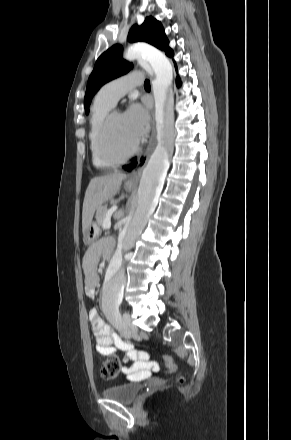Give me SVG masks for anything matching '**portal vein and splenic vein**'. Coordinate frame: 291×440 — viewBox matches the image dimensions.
<instances>
[{
	"label": "portal vein and splenic vein",
	"mask_w": 291,
	"mask_h": 440,
	"mask_svg": "<svg viewBox=\"0 0 291 440\" xmlns=\"http://www.w3.org/2000/svg\"><path fill=\"white\" fill-rule=\"evenodd\" d=\"M116 210H117V206H114L111 209V213L106 215L105 220L103 222V228L104 229H109L111 227V216H112V213L115 212Z\"/></svg>",
	"instance_id": "18ae733b"
}]
</instances>
